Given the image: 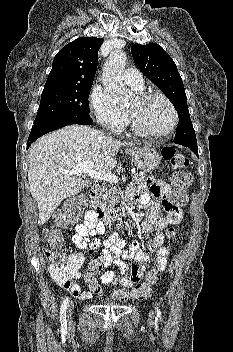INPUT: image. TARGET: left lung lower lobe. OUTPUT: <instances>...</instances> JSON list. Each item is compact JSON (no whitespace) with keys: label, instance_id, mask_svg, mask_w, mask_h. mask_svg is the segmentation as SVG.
Masks as SVG:
<instances>
[{"label":"left lung lower lobe","instance_id":"1","mask_svg":"<svg viewBox=\"0 0 233 352\" xmlns=\"http://www.w3.org/2000/svg\"><path fill=\"white\" fill-rule=\"evenodd\" d=\"M181 145L190 148L198 156L197 143H182Z\"/></svg>","mask_w":233,"mask_h":352}]
</instances>
